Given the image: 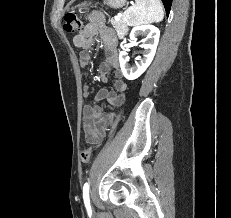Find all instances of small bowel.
<instances>
[{"mask_svg":"<svg viewBox=\"0 0 231 218\" xmlns=\"http://www.w3.org/2000/svg\"><path fill=\"white\" fill-rule=\"evenodd\" d=\"M97 36L101 39L106 53L104 61L99 66V71L103 75V80L106 81L105 75L111 69H114L116 79L113 90L106 88L99 90L92 102L85 106L83 110L84 131L91 141L96 144L104 139L108 127L114 119V114L105 115L102 113L98 102L105 100L111 106L119 107L125 99L127 89V84L123 80L122 72L119 69L117 36L115 32L106 25L105 17L100 11L91 12L88 16V23L73 38L74 45L82 50L80 54V65L86 68L92 64V59L88 51L94 45ZM83 95L86 98L90 96L87 84H84Z\"/></svg>","mask_w":231,"mask_h":218,"instance_id":"obj_1","label":"small bowel"}]
</instances>
